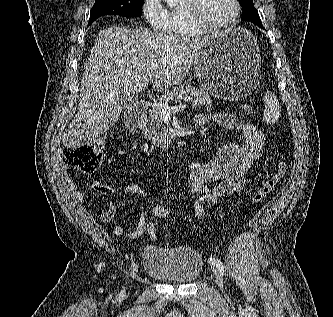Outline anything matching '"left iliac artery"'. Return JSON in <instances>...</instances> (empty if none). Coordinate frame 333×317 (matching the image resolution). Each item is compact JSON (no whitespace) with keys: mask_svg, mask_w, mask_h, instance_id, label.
Listing matches in <instances>:
<instances>
[{"mask_svg":"<svg viewBox=\"0 0 333 317\" xmlns=\"http://www.w3.org/2000/svg\"><path fill=\"white\" fill-rule=\"evenodd\" d=\"M209 262H210L212 265L216 266L217 269L219 270V272H220L221 274H224V273H225L224 265H223V263H222L219 259H217V258H212V257H211V258L209 259Z\"/></svg>","mask_w":333,"mask_h":317,"instance_id":"1","label":"left iliac artery"}]
</instances>
